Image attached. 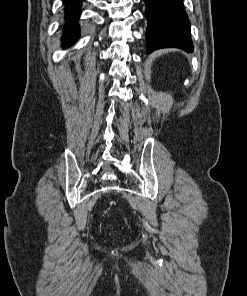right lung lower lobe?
<instances>
[{"label":"right lung lower lobe","mask_w":247,"mask_h":296,"mask_svg":"<svg viewBox=\"0 0 247 296\" xmlns=\"http://www.w3.org/2000/svg\"><path fill=\"white\" fill-rule=\"evenodd\" d=\"M65 4V14L67 26L64 34L63 43L65 45L73 44L78 36L79 27L77 21L81 14V3L84 0H63Z\"/></svg>","instance_id":"right-lung-lower-lobe-1"}]
</instances>
